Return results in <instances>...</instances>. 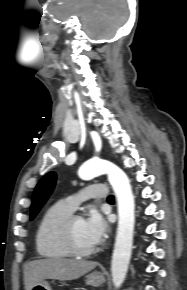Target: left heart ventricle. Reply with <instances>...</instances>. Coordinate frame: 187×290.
Segmentation results:
<instances>
[{
    "label": "left heart ventricle",
    "instance_id": "left-heart-ventricle-1",
    "mask_svg": "<svg viewBox=\"0 0 187 290\" xmlns=\"http://www.w3.org/2000/svg\"><path fill=\"white\" fill-rule=\"evenodd\" d=\"M74 235H75L77 244L81 248L87 249V248L96 246V244L92 241V239L90 238L88 234L84 218H80L75 221Z\"/></svg>",
    "mask_w": 187,
    "mask_h": 290
}]
</instances>
